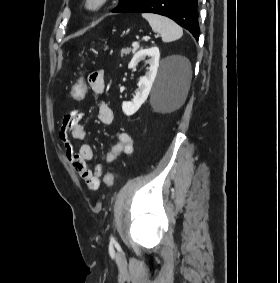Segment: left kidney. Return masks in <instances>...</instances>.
Masks as SVG:
<instances>
[{
  "instance_id": "5707ae66",
  "label": "left kidney",
  "mask_w": 280,
  "mask_h": 283,
  "mask_svg": "<svg viewBox=\"0 0 280 283\" xmlns=\"http://www.w3.org/2000/svg\"><path fill=\"white\" fill-rule=\"evenodd\" d=\"M146 57H150V59L146 60V62L150 66L145 76L139 79L138 91L136 92L132 101L122 103V110L124 114L127 116H130L136 113L141 107V105L146 101L151 91L156 75H157V70L159 67L160 52H159V48L156 46L148 48V49H141L140 51H138L133 56L130 63L128 64V68L131 69L137 66V64L140 61L145 60ZM170 59H179L184 64L187 62L186 59L178 57V56L170 57ZM184 64L182 65V67L184 66Z\"/></svg>"
}]
</instances>
